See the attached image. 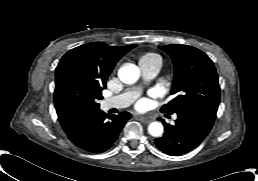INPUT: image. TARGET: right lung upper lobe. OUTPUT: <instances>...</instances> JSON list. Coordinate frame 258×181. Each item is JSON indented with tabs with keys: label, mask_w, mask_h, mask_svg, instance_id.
I'll return each instance as SVG.
<instances>
[{
	"label": "right lung upper lobe",
	"mask_w": 258,
	"mask_h": 181,
	"mask_svg": "<svg viewBox=\"0 0 258 181\" xmlns=\"http://www.w3.org/2000/svg\"><path fill=\"white\" fill-rule=\"evenodd\" d=\"M136 45L112 47L103 42H93L68 51L56 68V76L70 65L96 85L106 88V80L116 62Z\"/></svg>",
	"instance_id": "cb5924a9"
}]
</instances>
